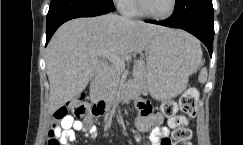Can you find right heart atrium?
I'll return each instance as SVG.
<instances>
[{
	"instance_id": "1",
	"label": "right heart atrium",
	"mask_w": 243,
	"mask_h": 145,
	"mask_svg": "<svg viewBox=\"0 0 243 145\" xmlns=\"http://www.w3.org/2000/svg\"><path fill=\"white\" fill-rule=\"evenodd\" d=\"M120 8H124L130 0H114Z\"/></svg>"
}]
</instances>
